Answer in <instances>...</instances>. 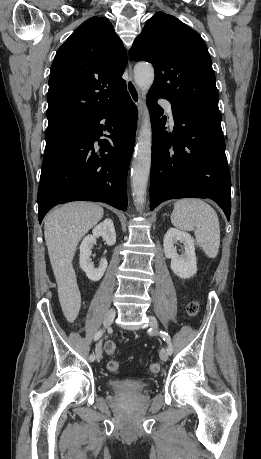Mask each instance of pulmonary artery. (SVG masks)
<instances>
[{
    "label": "pulmonary artery",
    "instance_id": "pulmonary-artery-1",
    "mask_svg": "<svg viewBox=\"0 0 261 459\" xmlns=\"http://www.w3.org/2000/svg\"><path fill=\"white\" fill-rule=\"evenodd\" d=\"M161 104L163 105V107L165 108L166 112L168 113L169 117L171 120H173V113H172V108H171V105L168 101H165L163 100L161 102Z\"/></svg>",
    "mask_w": 261,
    "mask_h": 459
}]
</instances>
